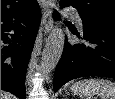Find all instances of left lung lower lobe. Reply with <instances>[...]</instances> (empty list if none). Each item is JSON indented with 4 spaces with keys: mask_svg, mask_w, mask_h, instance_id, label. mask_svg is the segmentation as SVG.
<instances>
[{
    "mask_svg": "<svg viewBox=\"0 0 115 99\" xmlns=\"http://www.w3.org/2000/svg\"><path fill=\"white\" fill-rule=\"evenodd\" d=\"M62 8L65 7L60 5ZM79 37V33L72 31ZM84 43L65 41L54 76V90L66 82L88 76L115 78V31L83 23Z\"/></svg>",
    "mask_w": 115,
    "mask_h": 99,
    "instance_id": "obj_1",
    "label": "left lung lower lobe"
}]
</instances>
